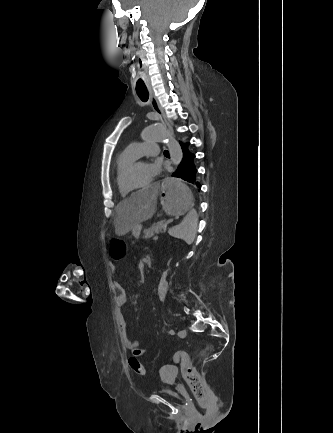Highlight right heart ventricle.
<instances>
[{
  "instance_id": "obj_1",
  "label": "right heart ventricle",
  "mask_w": 333,
  "mask_h": 433,
  "mask_svg": "<svg viewBox=\"0 0 333 433\" xmlns=\"http://www.w3.org/2000/svg\"><path fill=\"white\" fill-rule=\"evenodd\" d=\"M138 157H136L128 148H126L124 151H122L117 159H116V164H115V185L116 188L120 194L121 197H126L128 195V191L124 190L121 187L120 184V179L122 176V173L124 171V169L134 160H136Z\"/></svg>"
}]
</instances>
